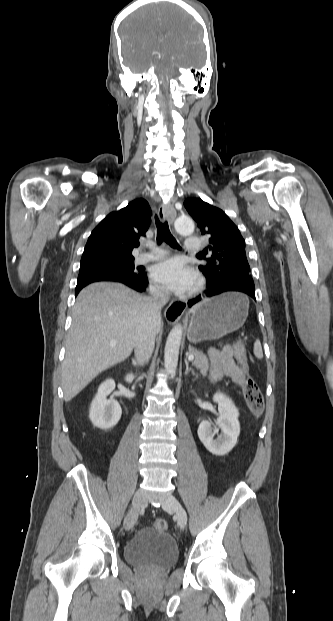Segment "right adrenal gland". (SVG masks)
I'll return each instance as SVG.
<instances>
[{"mask_svg": "<svg viewBox=\"0 0 333 621\" xmlns=\"http://www.w3.org/2000/svg\"><path fill=\"white\" fill-rule=\"evenodd\" d=\"M132 364H133L134 366H137V365H138V362H137V360H136L135 358H132Z\"/></svg>", "mask_w": 333, "mask_h": 621, "instance_id": "right-adrenal-gland-1", "label": "right adrenal gland"}]
</instances>
